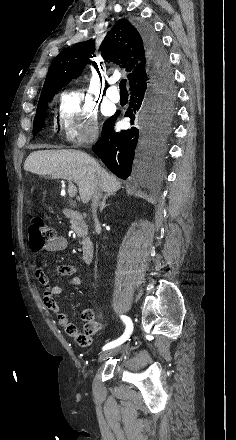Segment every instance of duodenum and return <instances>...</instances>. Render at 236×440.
<instances>
[{"instance_id": "1", "label": "duodenum", "mask_w": 236, "mask_h": 440, "mask_svg": "<svg viewBox=\"0 0 236 440\" xmlns=\"http://www.w3.org/2000/svg\"><path fill=\"white\" fill-rule=\"evenodd\" d=\"M64 216L70 221L82 226L83 224V214L71 208H64ZM81 246H82V259L85 263H91L94 256V244L91 238L83 230L81 236Z\"/></svg>"}]
</instances>
